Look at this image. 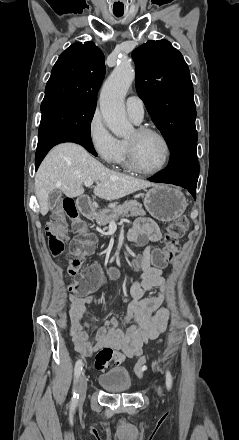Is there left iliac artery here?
Here are the masks:
<instances>
[{
    "instance_id": "1",
    "label": "left iliac artery",
    "mask_w": 239,
    "mask_h": 440,
    "mask_svg": "<svg viewBox=\"0 0 239 440\" xmlns=\"http://www.w3.org/2000/svg\"><path fill=\"white\" fill-rule=\"evenodd\" d=\"M166 386H167V389H168V390H169V389L171 388V386H172V376H171V374H170L169 371H166Z\"/></svg>"
}]
</instances>
